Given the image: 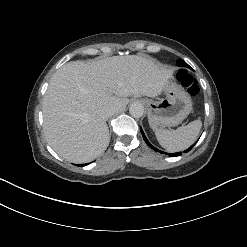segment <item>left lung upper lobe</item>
Listing matches in <instances>:
<instances>
[{"label":"left lung upper lobe","mask_w":247,"mask_h":247,"mask_svg":"<svg viewBox=\"0 0 247 247\" xmlns=\"http://www.w3.org/2000/svg\"><path fill=\"white\" fill-rule=\"evenodd\" d=\"M178 66L191 68L184 60L180 59L177 61Z\"/></svg>","instance_id":"obj_1"}]
</instances>
